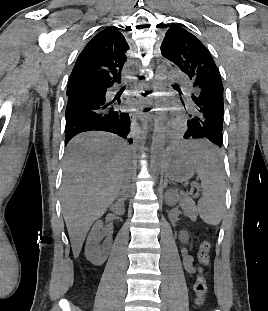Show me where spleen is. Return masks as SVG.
Instances as JSON below:
<instances>
[{
  "label": "spleen",
  "mask_w": 268,
  "mask_h": 311,
  "mask_svg": "<svg viewBox=\"0 0 268 311\" xmlns=\"http://www.w3.org/2000/svg\"><path fill=\"white\" fill-rule=\"evenodd\" d=\"M185 147H191L192 161L201 180L202 197L198 201L201 219L209 225H218L225 210L224 172L220 161L218 144L207 140H185Z\"/></svg>",
  "instance_id": "3e777b00"
}]
</instances>
